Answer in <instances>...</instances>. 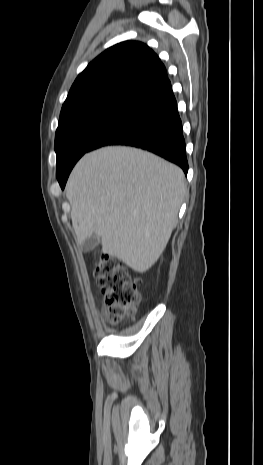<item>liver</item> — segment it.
<instances>
[{"instance_id":"liver-1","label":"liver","mask_w":263,"mask_h":465,"mask_svg":"<svg viewBox=\"0 0 263 465\" xmlns=\"http://www.w3.org/2000/svg\"><path fill=\"white\" fill-rule=\"evenodd\" d=\"M185 192L183 171L152 153L123 146L88 153L66 185L77 243L96 234L103 253L143 273L164 251Z\"/></svg>"}]
</instances>
